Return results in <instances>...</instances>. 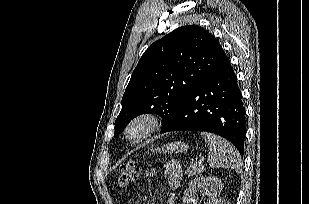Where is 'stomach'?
<instances>
[{
    "mask_svg": "<svg viewBox=\"0 0 309 204\" xmlns=\"http://www.w3.org/2000/svg\"><path fill=\"white\" fill-rule=\"evenodd\" d=\"M188 145L184 142H172L161 147H157L152 152L158 153H183L188 150Z\"/></svg>",
    "mask_w": 309,
    "mask_h": 204,
    "instance_id": "1",
    "label": "stomach"
}]
</instances>
